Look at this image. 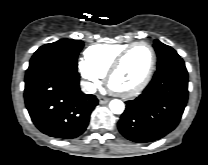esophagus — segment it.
I'll return each instance as SVG.
<instances>
[{"label":"esophagus","mask_w":208,"mask_h":165,"mask_svg":"<svg viewBox=\"0 0 208 165\" xmlns=\"http://www.w3.org/2000/svg\"><path fill=\"white\" fill-rule=\"evenodd\" d=\"M109 102V99L108 98H105V97H99V103L100 104H106Z\"/></svg>","instance_id":"esophagus-1"}]
</instances>
